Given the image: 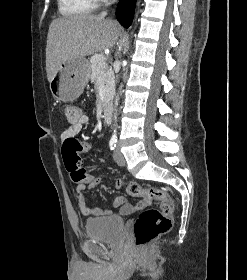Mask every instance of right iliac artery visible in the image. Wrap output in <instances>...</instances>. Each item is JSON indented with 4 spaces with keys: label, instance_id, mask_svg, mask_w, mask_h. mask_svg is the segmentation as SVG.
<instances>
[{
    "label": "right iliac artery",
    "instance_id": "right-iliac-artery-1",
    "mask_svg": "<svg viewBox=\"0 0 247 280\" xmlns=\"http://www.w3.org/2000/svg\"><path fill=\"white\" fill-rule=\"evenodd\" d=\"M116 143H117V138L116 137H112L110 142H109V146L111 150H114L116 147Z\"/></svg>",
    "mask_w": 247,
    "mask_h": 280
}]
</instances>
